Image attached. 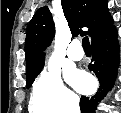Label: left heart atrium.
<instances>
[{"instance_id":"left-heart-atrium-1","label":"left heart atrium","mask_w":121,"mask_h":113,"mask_svg":"<svg viewBox=\"0 0 121 113\" xmlns=\"http://www.w3.org/2000/svg\"><path fill=\"white\" fill-rule=\"evenodd\" d=\"M67 80L80 91H86L90 87L88 77L78 71H68L66 73Z\"/></svg>"}]
</instances>
